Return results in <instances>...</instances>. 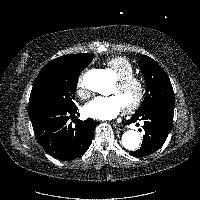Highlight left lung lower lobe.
Returning <instances> with one entry per match:
<instances>
[{"label": "left lung lower lobe", "instance_id": "0a47b994", "mask_svg": "<svg viewBox=\"0 0 200 200\" xmlns=\"http://www.w3.org/2000/svg\"><path fill=\"white\" fill-rule=\"evenodd\" d=\"M173 113L174 109L150 106L140 113L134 114L127 123H134L138 119L144 120L145 135L141 148L130 152V155L144 157L160 149L173 126Z\"/></svg>", "mask_w": 200, "mask_h": 200}]
</instances>
